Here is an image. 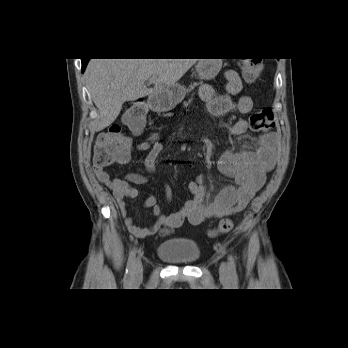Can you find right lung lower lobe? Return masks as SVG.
Returning <instances> with one entry per match:
<instances>
[{
	"instance_id": "1",
	"label": "right lung lower lobe",
	"mask_w": 348,
	"mask_h": 348,
	"mask_svg": "<svg viewBox=\"0 0 348 348\" xmlns=\"http://www.w3.org/2000/svg\"><path fill=\"white\" fill-rule=\"evenodd\" d=\"M89 59H82V71H84Z\"/></svg>"
}]
</instances>
